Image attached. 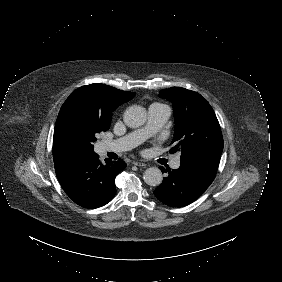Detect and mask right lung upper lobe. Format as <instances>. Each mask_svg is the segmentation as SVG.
Returning <instances> with one entry per match:
<instances>
[{
    "label": "right lung upper lobe",
    "mask_w": 282,
    "mask_h": 282,
    "mask_svg": "<svg viewBox=\"0 0 282 282\" xmlns=\"http://www.w3.org/2000/svg\"><path fill=\"white\" fill-rule=\"evenodd\" d=\"M136 93L122 91L105 84H90L76 89L62 105L55 124L53 136L54 164L59 165L75 158L59 138V130L66 119L75 112L87 108L96 112L100 119L110 121L112 112Z\"/></svg>",
    "instance_id": "obj_1"
}]
</instances>
